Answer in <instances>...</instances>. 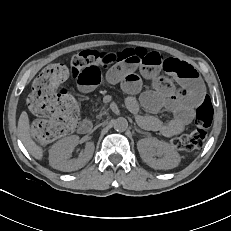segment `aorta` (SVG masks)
Instances as JSON below:
<instances>
[{"instance_id":"1","label":"aorta","mask_w":231,"mask_h":231,"mask_svg":"<svg viewBox=\"0 0 231 231\" xmlns=\"http://www.w3.org/2000/svg\"><path fill=\"white\" fill-rule=\"evenodd\" d=\"M113 127L117 132H124L128 128V121L123 117H119L114 120Z\"/></svg>"}]
</instances>
